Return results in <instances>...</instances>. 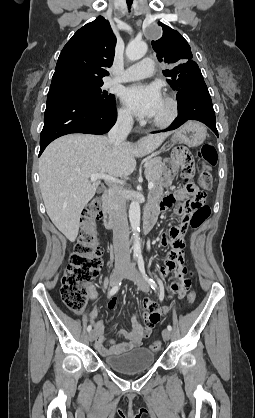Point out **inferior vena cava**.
<instances>
[{
  "mask_svg": "<svg viewBox=\"0 0 255 418\" xmlns=\"http://www.w3.org/2000/svg\"><path fill=\"white\" fill-rule=\"evenodd\" d=\"M133 126L130 113H120L113 128L108 133L110 144H119L127 138ZM109 205L113 220V247L117 261L130 259L129 227L124 191L117 185L109 189Z\"/></svg>",
  "mask_w": 255,
  "mask_h": 418,
  "instance_id": "602c4592",
  "label": "inferior vena cava"
}]
</instances>
